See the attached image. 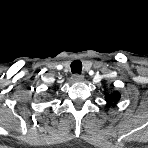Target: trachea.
<instances>
[{"label": "trachea", "instance_id": "1", "mask_svg": "<svg viewBox=\"0 0 148 148\" xmlns=\"http://www.w3.org/2000/svg\"><path fill=\"white\" fill-rule=\"evenodd\" d=\"M71 71L72 73L81 74L82 71V63L80 60H74L71 63Z\"/></svg>", "mask_w": 148, "mask_h": 148}]
</instances>
